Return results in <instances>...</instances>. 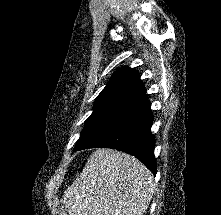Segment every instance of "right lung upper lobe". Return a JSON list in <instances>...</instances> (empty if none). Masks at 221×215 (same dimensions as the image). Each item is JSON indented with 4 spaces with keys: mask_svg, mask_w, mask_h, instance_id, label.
I'll list each match as a JSON object with an SVG mask.
<instances>
[{
    "mask_svg": "<svg viewBox=\"0 0 221 215\" xmlns=\"http://www.w3.org/2000/svg\"><path fill=\"white\" fill-rule=\"evenodd\" d=\"M149 103L144 84L136 70L118 69L97 96L92 114L123 118Z\"/></svg>",
    "mask_w": 221,
    "mask_h": 215,
    "instance_id": "obj_1",
    "label": "right lung upper lobe"
}]
</instances>
